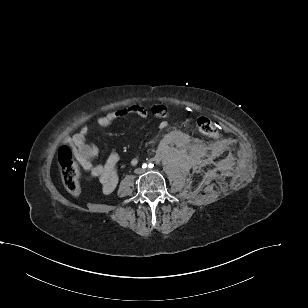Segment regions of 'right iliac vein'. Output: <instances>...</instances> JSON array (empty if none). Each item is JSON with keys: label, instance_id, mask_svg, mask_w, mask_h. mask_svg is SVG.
Instances as JSON below:
<instances>
[{"label": "right iliac vein", "instance_id": "1", "mask_svg": "<svg viewBox=\"0 0 308 308\" xmlns=\"http://www.w3.org/2000/svg\"><path fill=\"white\" fill-rule=\"evenodd\" d=\"M141 170H137V173H139Z\"/></svg>", "mask_w": 308, "mask_h": 308}]
</instances>
